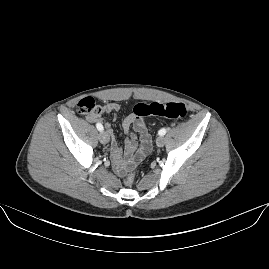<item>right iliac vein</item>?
Here are the masks:
<instances>
[{
    "mask_svg": "<svg viewBox=\"0 0 269 269\" xmlns=\"http://www.w3.org/2000/svg\"><path fill=\"white\" fill-rule=\"evenodd\" d=\"M99 140L103 144H107L110 140L109 134L107 131H101L99 133Z\"/></svg>",
    "mask_w": 269,
    "mask_h": 269,
    "instance_id": "1",
    "label": "right iliac vein"
}]
</instances>
